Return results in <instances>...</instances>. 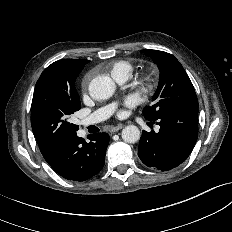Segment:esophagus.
I'll list each match as a JSON object with an SVG mask.
<instances>
[{
    "instance_id": "1",
    "label": "esophagus",
    "mask_w": 232,
    "mask_h": 232,
    "mask_svg": "<svg viewBox=\"0 0 232 232\" xmlns=\"http://www.w3.org/2000/svg\"><path fill=\"white\" fill-rule=\"evenodd\" d=\"M122 128H123V125L114 126L110 128V132L114 133V132L121 130Z\"/></svg>"
}]
</instances>
